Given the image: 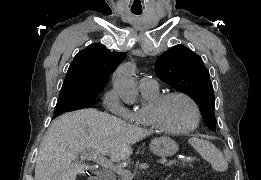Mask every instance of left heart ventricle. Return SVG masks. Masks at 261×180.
Returning <instances> with one entry per match:
<instances>
[{
	"instance_id": "obj_1",
	"label": "left heart ventricle",
	"mask_w": 261,
	"mask_h": 180,
	"mask_svg": "<svg viewBox=\"0 0 261 180\" xmlns=\"http://www.w3.org/2000/svg\"><path fill=\"white\" fill-rule=\"evenodd\" d=\"M143 110L144 107L139 112ZM144 119L155 124L163 134L179 133L189 128L192 124L194 110L185 99L173 97L155 111L144 113Z\"/></svg>"
}]
</instances>
